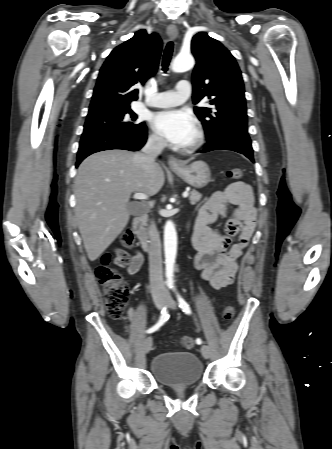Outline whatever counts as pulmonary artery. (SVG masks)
Returning <instances> with one entry per match:
<instances>
[{"label": "pulmonary artery", "instance_id": "pulmonary-artery-1", "mask_svg": "<svg viewBox=\"0 0 332 449\" xmlns=\"http://www.w3.org/2000/svg\"><path fill=\"white\" fill-rule=\"evenodd\" d=\"M191 93V85L187 80L179 81L174 90L160 92L146 100L152 107H172L182 104Z\"/></svg>", "mask_w": 332, "mask_h": 449}]
</instances>
